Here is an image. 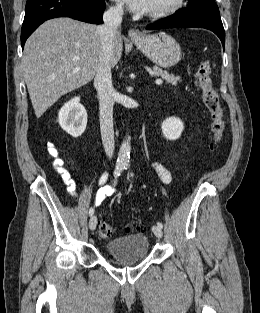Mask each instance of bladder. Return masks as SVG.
<instances>
[{
	"label": "bladder",
	"instance_id": "obj_1",
	"mask_svg": "<svg viewBox=\"0 0 260 313\" xmlns=\"http://www.w3.org/2000/svg\"><path fill=\"white\" fill-rule=\"evenodd\" d=\"M108 255L122 265L141 262L149 254V240L143 233L131 234L109 241L106 246Z\"/></svg>",
	"mask_w": 260,
	"mask_h": 313
}]
</instances>
